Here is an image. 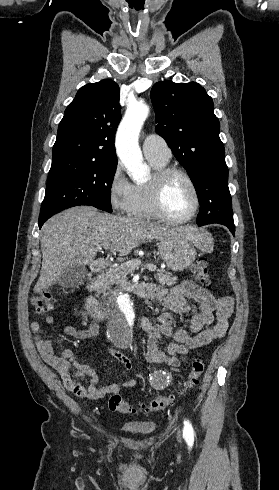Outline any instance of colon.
Returning <instances> with one entry per match:
<instances>
[{
    "label": "colon",
    "mask_w": 279,
    "mask_h": 490,
    "mask_svg": "<svg viewBox=\"0 0 279 490\" xmlns=\"http://www.w3.org/2000/svg\"><path fill=\"white\" fill-rule=\"evenodd\" d=\"M192 272L197 281L205 288L211 287V274L208 268V261L202 257L196 260L192 266ZM35 307V313L39 316H45L54 310V298L49 290H44L34 294L32 298ZM204 370V362L201 358H196L192 361L191 369L188 378L182 385L181 389H177L168 393L157 395L156 397L144 403L133 405L125 400L119 394H111L108 397V409L112 412L123 414H134L139 411L152 413L163 410L168 407L175 398L182 394L184 390L195 387L200 380Z\"/></svg>",
    "instance_id": "obj_1"
}]
</instances>
